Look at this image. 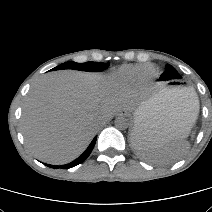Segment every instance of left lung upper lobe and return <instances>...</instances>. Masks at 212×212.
I'll list each match as a JSON object with an SVG mask.
<instances>
[{"label":"left lung upper lobe","instance_id":"5c2ea615","mask_svg":"<svg viewBox=\"0 0 212 212\" xmlns=\"http://www.w3.org/2000/svg\"><path fill=\"white\" fill-rule=\"evenodd\" d=\"M180 76L177 71L170 65H166L165 72L160 76L159 81H169L179 79Z\"/></svg>","mask_w":212,"mask_h":212}]
</instances>
